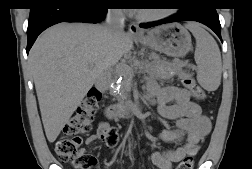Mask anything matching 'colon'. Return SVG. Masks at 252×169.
Returning a JSON list of instances; mask_svg holds the SVG:
<instances>
[{"mask_svg":"<svg viewBox=\"0 0 252 169\" xmlns=\"http://www.w3.org/2000/svg\"><path fill=\"white\" fill-rule=\"evenodd\" d=\"M183 85L196 99H204V91L194 79L185 77ZM100 97L101 93L97 89L91 88L88 91L66 123L62 136L55 143L54 151L58 159L63 163L70 164L73 169H91L96 164V159L93 156L82 151L81 135L90 130ZM117 142V131L114 128H110L107 133V143L113 147ZM193 165V157L189 155L178 164L177 169H192Z\"/></svg>","mask_w":252,"mask_h":169,"instance_id":"5ec220e1","label":"colon"}]
</instances>
